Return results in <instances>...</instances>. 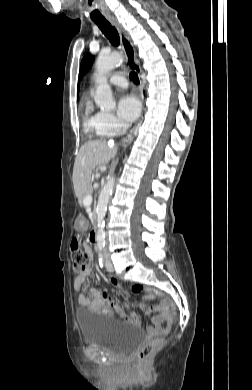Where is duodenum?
<instances>
[{
  "label": "duodenum",
  "mask_w": 252,
  "mask_h": 390,
  "mask_svg": "<svg viewBox=\"0 0 252 390\" xmlns=\"http://www.w3.org/2000/svg\"><path fill=\"white\" fill-rule=\"evenodd\" d=\"M90 239H91V241H92L93 243L96 242V240H97V231H96V230L91 231Z\"/></svg>",
  "instance_id": "410a0bca"
}]
</instances>
